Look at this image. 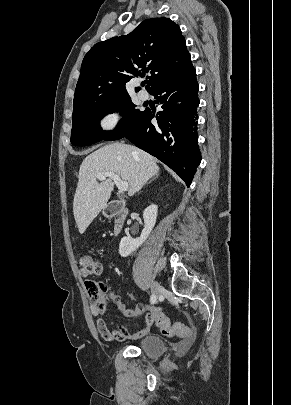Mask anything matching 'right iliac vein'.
<instances>
[{"label":"right iliac vein","instance_id":"right-iliac-vein-1","mask_svg":"<svg viewBox=\"0 0 291 405\" xmlns=\"http://www.w3.org/2000/svg\"><path fill=\"white\" fill-rule=\"evenodd\" d=\"M160 291H161V286L158 284V282H156V281L153 282L152 285H151V292H152V294H153L155 297H157V296L159 295Z\"/></svg>","mask_w":291,"mask_h":405}]
</instances>
